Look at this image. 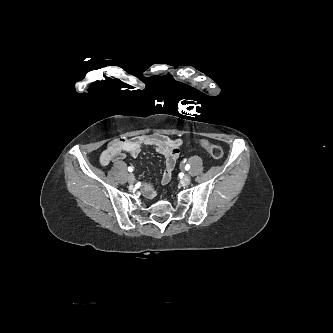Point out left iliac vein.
Wrapping results in <instances>:
<instances>
[{
    "instance_id": "1",
    "label": "left iliac vein",
    "mask_w": 333,
    "mask_h": 333,
    "mask_svg": "<svg viewBox=\"0 0 333 333\" xmlns=\"http://www.w3.org/2000/svg\"><path fill=\"white\" fill-rule=\"evenodd\" d=\"M190 182H191V178L188 175H185L183 177V179L180 181V183H181L182 186H187V185L190 184Z\"/></svg>"
}]
</instances>
